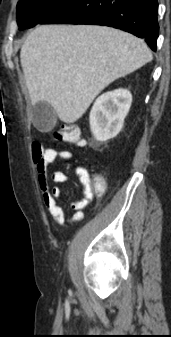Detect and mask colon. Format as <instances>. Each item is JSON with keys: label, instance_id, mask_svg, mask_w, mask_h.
I'll return each mask as SVG.
<instances>
[{"label": "colon", "instance_id": "5ec220e1", "mask_svg": "<svg viewBox=\"0 0 171 337\" xmlns=\"http://www.w3.org/2000/svg\"><path fill=\"white\" fill-rule=\"evenodd\" d=\"M52 138L58 143H68L76 146L85 144L80 129L72 123L66 124L61 129L55 130L52 134ZM91 184L93 191L97 196L103 195L106 190V181L102 176H94L91 179Z\"/></svg>", "mask_w": 171, "mask_h": 337}]
</instances>
